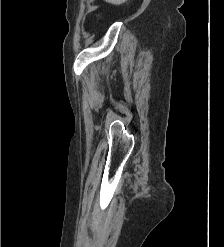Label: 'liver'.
<instances>
[{"mask_svg": "<svg viewBox=\"0 0 224 247\" xmlns=\"http://www.w3.org/2000/svg\"><path fill=\"white\" fill-rule=\"evenodd\" d=\"M108 4H113V6H121V4H125L127 0H105Z\"/></svg>", "mask_w": 224, "mask_h": 247, "instance_id": "1", "label": "liver"}]
</instances>
